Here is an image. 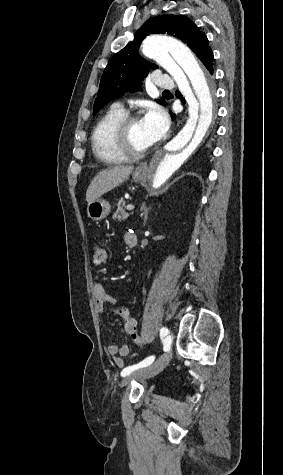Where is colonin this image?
<instances>
[{"instance_id":"5ec220e1","label":"colon","mask_w":283,"mask_h":475,"mask_svg":"<svg viewBox=\"0 0 283 475\" xmlns=\"http://www.w3.org/2000/svg\"><path fill=\"white\" fill-rule=\"evenodd\" d=\"M109 260V251L101 243L96 242L92 247V265L94 267H101ZM114 312L120 316L125 324V329L130 339L138 346L143 344L142 338L137 328V322L134 317L128 312L127 306L113 308Z\"/></svg>"}]
</instances>
